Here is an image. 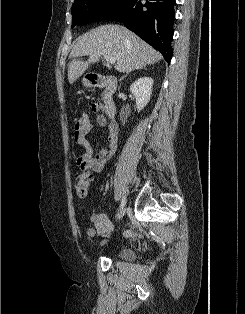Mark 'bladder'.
Wrapping results in <instances>:
<instances>
[{"label":"bladder","mask_w":245,"mask_h":314,"mask_svg":"<svg viewBox=\"0 0 245 314\" xmlns=\"http://www.w3.org/2000/svg\"><path fill=\"white\" fill-rule=\"evenodd\" d=\"M117 255L123 259H128L131 256V251L127 248H119Z\"/></svg>","instance_id":"31cf9c89"}]
</instances>
